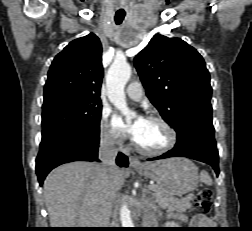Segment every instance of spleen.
Wrapping results in <instances>:
<instances>
[{"label": "spleen", "instance_id": "obj_1", "mask_svg": "<svg viewBox=\"0 0 252 231\" xmlns=\"http://www.w3.org/2000/svg\"><path fill=\"white\" fill-rule=\"evenodd\" d=\"M200 179L202 182H204L207 185L211 186L213 184L212 178L209 176L207 172H202L200 174Z\"/></svg>", "mask_w": 252, "mask_h": 231}]
</instances>
